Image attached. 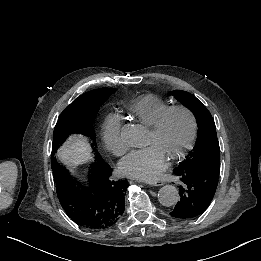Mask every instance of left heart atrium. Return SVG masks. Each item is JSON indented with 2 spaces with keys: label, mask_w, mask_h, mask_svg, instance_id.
Returning <instances> with one entry per match:
<instances>
[{
  "label": "left heart atrium",
  "mask_w": 261,
  "mask_h": 261,
  "mask_svg": "<svg viewBox=\"0 0 261 261\" xmlns=\"http://www.w3.org/2000/svg\"><path fill=\"white\" fill-rule=\"evenodd\" d=\"M167 159L155 144L133 148L120 162L119 168L128 177L151 181L166 169Z\"/></svg>",
  "instance_id": "obj_1"
}]
</instances>
